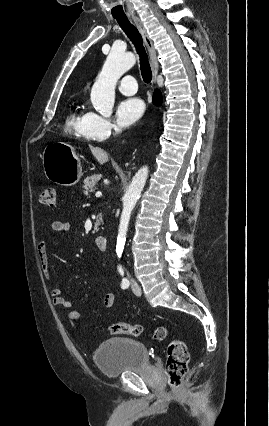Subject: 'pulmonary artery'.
<instances>
[{
    "label": "pulmonary artery",
    "instance_id": "e3ab8cb5",
    "mask_svg": "<svg viewBox=\"0 0 269 426\" xmlns=\"http://www.w3.org/2000/svg\"><path fill=\"white\" fill-rule=\"evenodd\" d=\"M118 89L125 95H133L137 92V83L133 76L125 75L118 81Z\"/></svg>",
    "mask_w": 269,
    "mask_h": 426
}]
</instances>
